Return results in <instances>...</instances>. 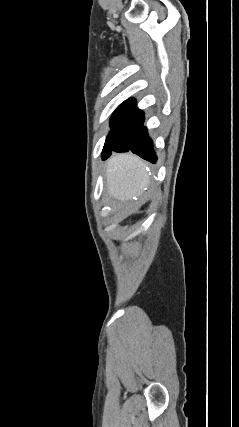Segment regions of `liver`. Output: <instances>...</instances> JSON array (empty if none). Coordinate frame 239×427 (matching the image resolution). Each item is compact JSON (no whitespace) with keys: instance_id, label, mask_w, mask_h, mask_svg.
<instances>
[{"instance_id":"1","label":"liver","mask_w":239,"mask_h":427,"mask_svg":"<svg viewBox=\"0 0 239 427\" xmlns=\"http://www.w3.org/2000/svg\"><path fill=\"white\" fill-rule=\"evenodd\" d=\"M105 176L110 196L120 201L141 197L149 184L145 162L132 154L113 156Z\"/></svg>"}]
</instances>
